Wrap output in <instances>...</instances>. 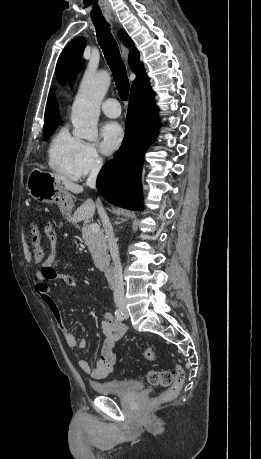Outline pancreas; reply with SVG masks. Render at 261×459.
I'll list each match as a JSON object with an SVG mask.
<instances>
[{
  "label": "pancreas",
  "mask_w": 261,
  "mask_h": 459,
  "mask_svg": "<svg viewBox=\"0 0 261 459\" xmlns=\"http://www.w3.org/2000/svg\"><path fill=\"white\" fill-rule=\"evenodd\" d=\"M82 238L85 245L88 246L95 266L103 270L109 260L108 246L103 231L94 233L89 226L84 225L82 228Z\"/></svg>",
  "instance_id": "1"
}]
</instances>
